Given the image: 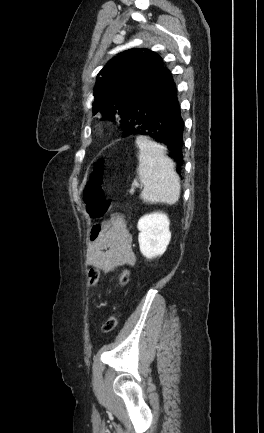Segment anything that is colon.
<instances>
[{
    "instance_id": "colon-1",
    "label": "colon",
    "mask_w": 264,
    "mask_h": 433,
    "mask_svg": "<svg viewBox=\"0 0 264 433\" xmlns=\"http://www.w3.org/2000/svg\"><path fill=\"white\" fill-rule=\"evenodd\" d=\"M106 161L104 159H98L91 170L89 179L84 189V200L87 206L88 212L97 218L103 217L111 208L110 201L106 198L103 191V179L105 171ZM100 277L99 269L92 267L89 269L87 274V284L89 287H93L97 284ZM119 282L125 286L129 283V272L123 269L119 273ZM118 319L116 314L111 313L106 318L102 331L109 333L117 326Z\"/></svg>"
}]
</instances>
